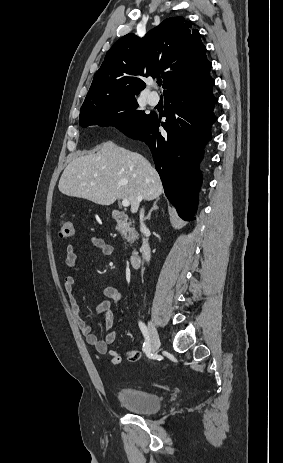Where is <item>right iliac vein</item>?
Listing matches in <instances>:
<instances>
[{"label":"right iliac vein","mask_w":283,"mask_h":463,"mask_svg":"<svg viewBox=\"0 0 283 463\" xmlns=\"http://www.w3.org/2000/svg\"><path fill=\"white\" fill-rule=\"evenodd\" d=\"M148 334L150 339V349L152 352L156 353L160 348V340L157 329L151 320L148 322Z\"/></svg>","instance_id":"1"}]
</instances>
